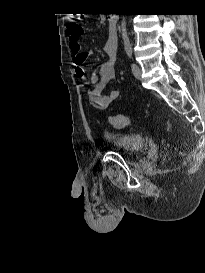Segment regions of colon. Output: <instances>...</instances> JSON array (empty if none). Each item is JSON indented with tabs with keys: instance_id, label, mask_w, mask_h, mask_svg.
<instances>
[{
	"instance_id": "5ec220e1",
	"label": "colon",
	"mask_w": 205,
	"mask_h": 273,
	"mask_svg": "<svg viewBox=\"0 0 205 273\" xmlns=\"http://www.w3.org/2000/svg\"><path fill=\"white\" fill-rule=\"evenodd\" d=\"M68 33L70 38L79 40L80 36L83 33V27L80 23L78 22H70L68 24ZM110 123L118 128H124L129 125L130 120L127 116L125 115H112L110 118Z\"/></svg>"
}]
</instances>
